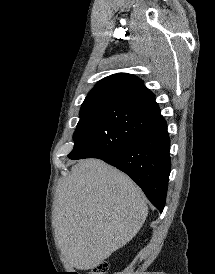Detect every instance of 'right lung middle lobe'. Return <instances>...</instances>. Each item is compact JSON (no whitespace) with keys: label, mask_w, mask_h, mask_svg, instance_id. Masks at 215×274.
<instances>
[{"label":"right lung middle lobe","mask_w":215,"mask_h":274,"mask_svg":"<svg viewBox=\"0 0 215 274\" xmlns=\"http://www.w3.org/2000/svg\"><path fill=\"white\" fill-rule=\"evenodd\" d=\"M73 139L72 160L104 158L128 144L159 115L114 101L83 103Z\"/></svg>","instance_id":"dd1d6c3e"}]
</instances>
